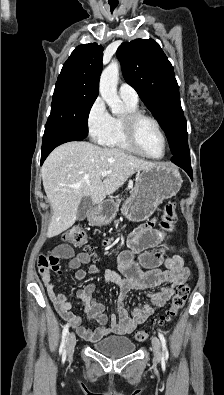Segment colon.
Segmentation results:
<instances>
[{
  "label": "colon",
  "instance_id": "colon-1",
  "mask_svg": "<svg viewBox=\"0 0 224 395\" xmlns=\"http://www.w3.org/2000/svg\"><path fill=\"white\" fill-rule=\"evenodd\" d=\"M178 218L177 206L174 203H168L164 207V220L161 225L164 229L173 231L175 229V223ZM65 242L76 246L84 247L89 253H92V249L88 246V236L83 228L72 227L66 230L63 234ZM59 258L53 254L44 253L38 258V267L40 272H59L60 268L58 265ZM190 293V285L187 282H181L177 285L174 295L171 300V305L166 312L157 320V324L163 325L170 322L176 317L178 311L185 305L187 298ZM149 336V332L145 329L137 330L134 333L136 341L143 342Z\"/></svg>",
  "mask_w": 224,
  "mask_h": 395
}]
</instances>
